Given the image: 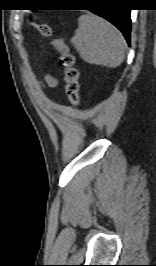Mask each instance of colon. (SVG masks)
Wrapping results in <instances>:
<instances>
[{"label": "colon", "mask_w": 156, "mask_h": 266, "mask_svg": "<svg viewBox=\"0 0 156 266\" xmlns=\"http://www.w3.org/2000/svg\"><path fill=\"white\" fill-rule=\"evenodd\" d=\"M30 23L36 27L38 32L43 36L51 39V44L59 53V62L64 69L65 90L69 102L77 107L80 103V86L79 72L75 66V57L69 47L62 38L53 34L52 28L47 23H35L30 20Z\"/></svg>", "instance_id": "5ec220e1"}]
</instances>
